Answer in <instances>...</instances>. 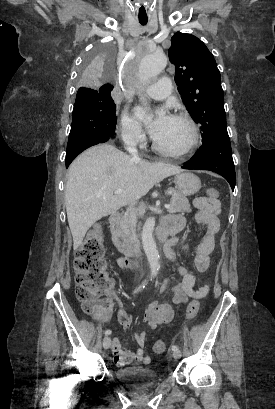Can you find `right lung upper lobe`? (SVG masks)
I'll list each match as a JSON object with an SVG mask.
<instances>
[{
    "instance_id": "right-lung-upper-lobe-1",
    "label": "right lung upper lobe",
    "mask_w": 275,
    "mask_h": 409,
    "mask_svg": "<svg viewBox=\"0 0 275 409\" xmlns=\"http://www.w3.org/2000/svg\"><path fill=\"white\" fill-rule=\"evenodd\" d=\"M113 89V85L110 83H106L101 86L100 90H78L80 93H93L97 96H111V91Z\"/></svg>"
}]
</instances>
